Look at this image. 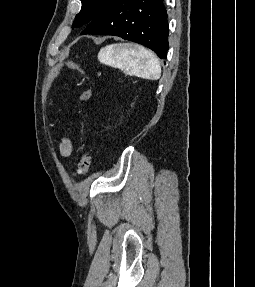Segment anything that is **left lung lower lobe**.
<instances>
[{
	"label": "left lung lower lobe",
	"mask_w": 255,
	"mask_h": 287,
	"mask_svg": "<svg viewBox=\"0 0 255 287\" xmlns=\"http://www.w3.org/2000/svg\"><path fill=\"white\" fill-rule=\"evenodd\" d=\"M164 0H112L81 34L114 35L143 44L166 59L168 21Z\"/></svg>",
	"instance_id": "1"
}]
</instances>
